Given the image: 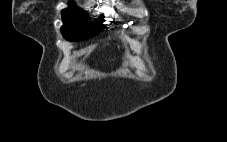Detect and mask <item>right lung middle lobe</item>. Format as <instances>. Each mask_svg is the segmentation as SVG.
Returning a JSON list of instances; mask_svg holds the SVG:
<instances>
[{"instance_id":"obj_1","label":"right lung middle lobe","mask_w":227,"mask_h":142,"mask_svg":"<svg viewBox=\"0 0 227 142\" xmlns=\"http://www.w3.org/2000/svg\"><path fill=\"white\" fill-rule=\"evenodd\" d=\"M62 19L64 25L61 27V33L66 40H83L97 35L101 28L104 17L101 16L96 23L88 22L86 13L76 6L62 10Z\"/></svg>"}]
</instances>
